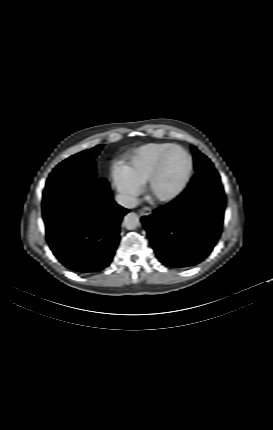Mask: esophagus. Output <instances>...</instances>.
<instances>
[{
	"label": "esophagus",
	"instance_id": "34e87169",
	"mask_svg": "<svg viewBox=\"0 0 273 430\" xmlns=\"http://www.w3.org/2000/svg\"><path fill=\"white\" fill-rule=\"evenodd\" d=\"M141 216H149L152 213L151 208L149 207H143L140 211H139Z\"/></svg>",
	"mask_w": 273,
	"mask_h": 430
}]
</instances>
